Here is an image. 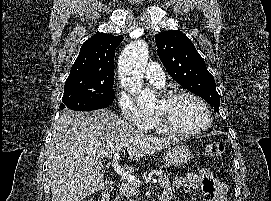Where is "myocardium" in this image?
<instances>
[{"label": "myocardium", "mask_w": 271, "mask_h": 201, "mask_svg": "<svg viewBox=\"0 0 271 201\" xmlns=\"http://www.w3.org/2000/svg\"><path fill=\"white\" fill-rule=\"evenodd\" d=\"M178 97H188V98H191V99L197 101L200 105H202V107L205 109V111L208 115V122L204 126L198 128V129L181 130V129H178L175 126H173L169 121H167L162 116L155 114L154 115L155 121L157 122L158 126L166 134L172 135V136H178V137H187V136L200 134L211 127V125L213 124V121H214L213 113H212L209 105L207 104V102L204 99H202L200 96H198L192 92L186 91V90L175 89V90H170V91L165 92L162 95L161 99L164 101H170V100H173Z\"/></svg>", "instance_id": "f54148a6"}]
</instances>
